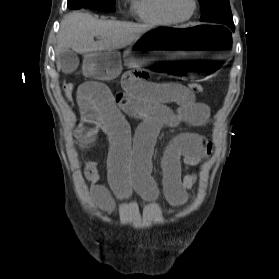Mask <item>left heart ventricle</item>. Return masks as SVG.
<instances>
[{
  "instance_id": "left-heart-ventricle-1",
  "label": "left heart ventricle",
  "mask_w": 279,
  "mask_h": 279,
  "mask_svg": "<svg viewBox=\"0 0 279 279\" xmlns=\"http://www.w3.org/2000/svg\"><path fill=\"white\" fill-rule=\"evenodd\" d=\"M169 10L179 18L187 17L193 9L192 0H167Z\"/></svg>"
}]
</instances>
